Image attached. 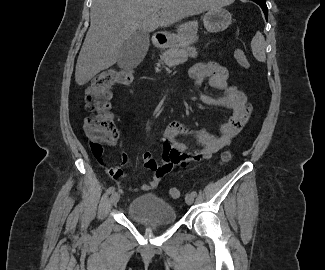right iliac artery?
Segmentation results:
<instances>
[{"mask_svg": "<svg viewBox=\"0 0 325 270\" xmlns=\"http://www.w3.org/2000/svg\"><path fill=\"white\" fill-rule=\"evenodd\" d=\"M114 191H115V187L114 186H111V187H109L108 189H107V194H111V193H114Z\"/></svg>", "mask_w": 325, "mask_h": 270, "instance_id": "82829eb1", "label": "right iliac artery"}]
</instances>
